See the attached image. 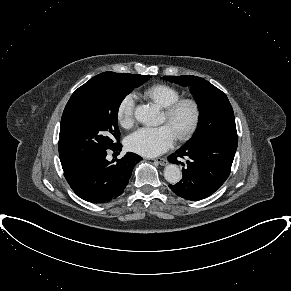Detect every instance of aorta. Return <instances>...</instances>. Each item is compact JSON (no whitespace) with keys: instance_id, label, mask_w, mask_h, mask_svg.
Masks as SVG:
<instances>
[{"instance_id":"1","label":"aorta","mask_w":291,"mask_h":291,"mask_svg":"<svg viewBox=\"0 0 291 291\" xmlns=\"http://www.w3.org/2000/svg\"><path fill=\"white\" fill-rule=\"evenodd\" d=\"M136 120L146 125H156L159 121L160 112L154 105L143 104L137 106L134 112ZM164 178L171 184L178 183L182 178L180 168L175 164H169L165 167Z\"/></svg>"}]
</instances>
